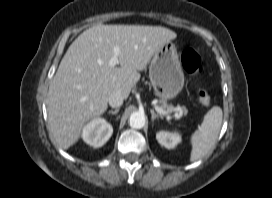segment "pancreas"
<instances>
[{
	"mask_svg": "<svg viewBox=\"0 0 272 198\" xmlns=\"http://www.w3.org/2000/svg\"><path fill=\"white\" fill-rule=\"evenodd\" d=\"M160 107L166 111H168V114L174 112L176 114H179V115H183V114H187V109L183 106H177V107H174L172 105H168L165 101H162L161 102V105Z\"/></svg>",
	"mask_w": 272,
	"mask_h": 198,
	"instance_id": "cf45deb5",
	"label": "pancreas"
}]
</instances>
